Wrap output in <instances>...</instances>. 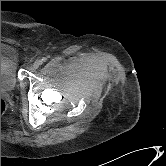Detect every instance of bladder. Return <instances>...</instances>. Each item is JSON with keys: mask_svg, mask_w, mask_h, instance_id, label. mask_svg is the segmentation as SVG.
I'll use <instances>...</instances> for the list:
<instances>
[{"mask_svg": "<svg viewBox=\"0 0 166 166\" xmlns=\"http://www.w3.org/2000/svg\"><path fill=\"white\" fill-rule=\"evenodd\" d=\"M18 84V55L16 48L1 41V92L12 91Z\"/></svg>", "mask_w": 166, "mask_h": 166, "instance_id": "1", "label": "bladder"}]
</instances>
